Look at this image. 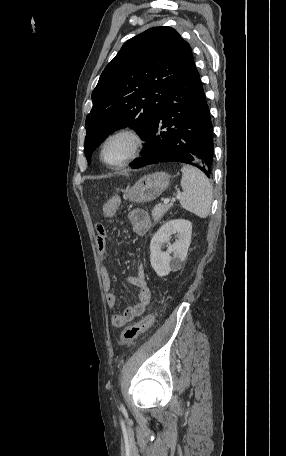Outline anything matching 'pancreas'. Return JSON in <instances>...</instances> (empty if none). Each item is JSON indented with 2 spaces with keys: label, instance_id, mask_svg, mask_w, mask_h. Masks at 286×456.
I'll return each instance as SVG.
<instances>
[{
  "label": "pancreas",
  "instance_id": "pancreas-1",
  "mask_svg": "<svg viewBox=\"0 0 286 456\" xmlns=\"http://www.w3.org/2000/svg\"><path fill=\"white\" fill-rule=\"evenodd\" d=\"M171 204H158L152 210V218L155 222L160 221L164 214L170 209Z\"/></svg>",
  "mask_w": 286,
  "mask_h": 456
}]
</instances>
